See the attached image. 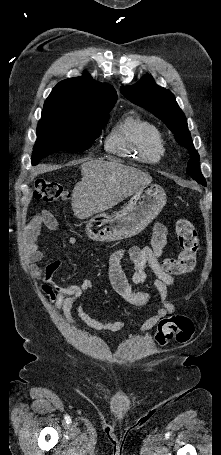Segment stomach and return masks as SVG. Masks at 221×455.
<instances>
[{"mask_svg":"<svg viewBox=\"0 0 221 455\" xmlns=\"http://www.w3.org/2000/svg\"><path fill=\"white\" fill-rule=\"evenodd\" d=\"M167 201L164 189L148 184L137 190L128 204L109 215L101 212L86 222V234L94 241L113 242L143 231L161 212Z\"/></svg>","mask_w":221,"mask_h":455,"instance_id":"stomach-1","label":"stomach"}]
</instances>
